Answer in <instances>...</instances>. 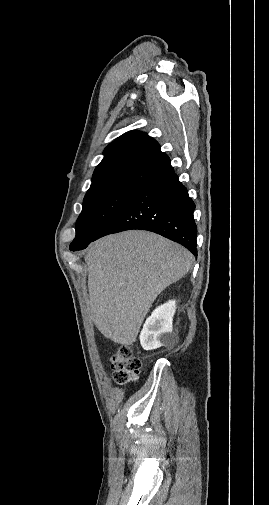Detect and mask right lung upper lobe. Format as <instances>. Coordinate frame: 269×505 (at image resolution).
<instances>
[{
    "label": "right lung upper lobe",
    "mask_w": 269,
    "mask_h": 505,
    "mask_svg": "<svg viewBox=\"0 0 269 505\" xmlns=\"http://www.w3.org/2000/svg\"><path fill=\"white\" fill-rule=\"evenodd\" d=\"M103 154V160L93 173L90 189L109 185L139 189L171 166L157 141L139 131L121 135Z\"/></svg>",
    "instance_id": "cb5924a9"
}]
</instances>
